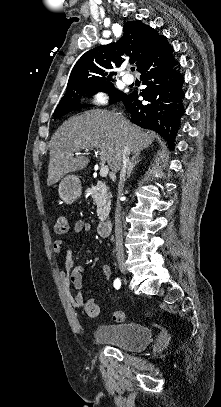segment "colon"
<instances>
[{"instance_id":"obj_1","label":"colon","mask_w":221,"mask_h":407,"mask_svg":"<svg viewBox=\"0 0 221 407\" xmlns=\"http://www.w3.org/2000/svg\"><path fill=\"white\" fill-rule=\"evenodd\" d=\"M68 231L67 219L64 216H59L55 224V232L57 234H66ZM84 308L90 317H95L99 313V308L94 302L93 298L89 297L84 301ZM127 319L126 312L123 310L116 311L113 314V320L122 323Z\"/></svg>"}]
</instances>
